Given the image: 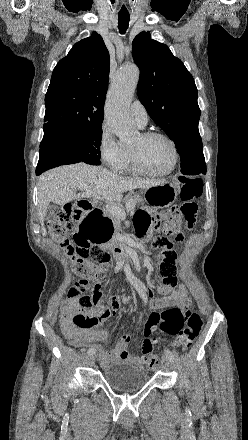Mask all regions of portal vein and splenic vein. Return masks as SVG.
Listing matches in <instances>:
<instances>
[{
	"label": "portal vein and splenic vein",
	"instance_id": "1",
	"mask_svg": "<svg viewBox=\"0 0 248 440\" xmlns=\"http://www.w3.org/2000/svg\"><path fill=\"white\" fill-rule=\"evenodd\" d=\"M88 186H84L82 190H87ZM134 202L133 200L127 205L126 210L131 211L134 208ZM106 211L109 212L111 215L118 217L121 220L126 219V212L121 209L120 207L112 204L106 205Z\"/></svg>",
	"mask_w": 248,
	"mask_h": 440
}]
</instances>
